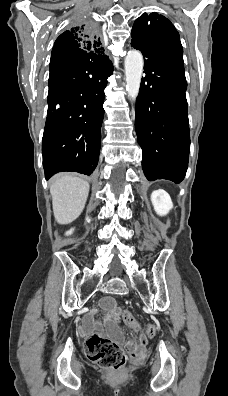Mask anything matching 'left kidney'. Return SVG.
<instances>
[{
    "label": "left kidney",
    "mask_w": 228,
    "mask_h": 396,
    "mask_svg": "<svg viewBox=\"0 0 228 396\" xmlns=\"http://www.w3.org/2000/svg\"><path fill=\"white\" fill-rule=\"evenodd\" d=\"M151 201L156 213L164 216L173 208L172 200L167 192L164 190H156L151 194Z\"/></svg>",
    "instance_id": "5707ae66"
}]
</instances>
